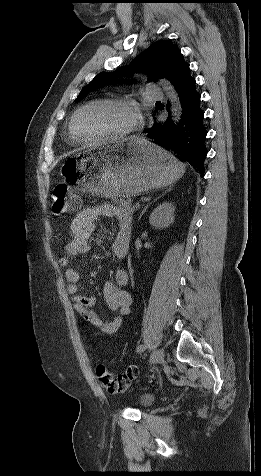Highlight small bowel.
Here are the masks:
<instances>
[{
    "label": "small bowel",
    "instance_id": "obj_1",
    "mask_svg": "<svg viewBox=\"0 0 261 476\" xmlns=\"http://www.w3.org/2000/svg\"><path fill=\"white\" fill-rule=\"evenodd\" d=\"M102 217L113 218L117 224V234L112 245L113 255L119 259L127 255L130 246L131 217L129 213L113 205L102 204L83 209L73 219L71 235L65 245V255L60 258L59 264L65 268L67 292L74 309L82 315L86 322L98 328L102 333L113 334L122 325L132 303L131 295L124 289L129 281L128 272L125 269H118L115 273V282H108L104 285V299L108 307L116 313L111 320L105 321L91 309L95 304V298L92 295L84 294L81 284L83 271L70 266L74 258L89 252L90 239L96 231L95 222Z\"/></svg>",
    "mask_w": 261,
    "mask_h": 476
}]
</instances>
